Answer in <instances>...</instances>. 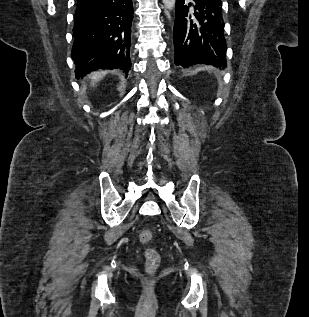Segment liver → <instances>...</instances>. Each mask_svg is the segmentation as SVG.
I'll use <instances>...</instances> for the list:
<instances>
[{
  "instance_id": "obj_1",
  "label": "liver",
  "mask_w": 309,
  "mask_h": 317,
  "mask_svg": "<svg viewBox=\"0 0 309 317\" xmlns=\"http://www.w3.org/2000/svg\"><path fill=\"white\" fill-rule=\"evenodd\" d=\"M105 75L104 71L94 72L90 75V78L92 80V85L94 86L96 82L100 81L103 76Z\"/></svg>"
}]
</instances>
